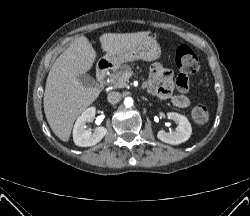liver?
I'll use <instances>...</instances> for the list:
<instances>
[{"instance_id": "1", "label": "liver", "mask_w": 250, "mask_h": 216, "mask_svg": "<svg viewBox=\"0 0 250 216\" xmlns=\"http://www.w3.org/2000/svg\"><path fill=\"white\" fill-rule=\"evenodd\" d=\"M150 32L105 33L100 36L106 54L125 50ZM96 60V52L85 36L77 38L54 62L47 77L44 112L50 128L62 141L69 140L76 118L99 96L100 89L85 87L79 77L86 74Z\"/></svg>"}]
</instances>
